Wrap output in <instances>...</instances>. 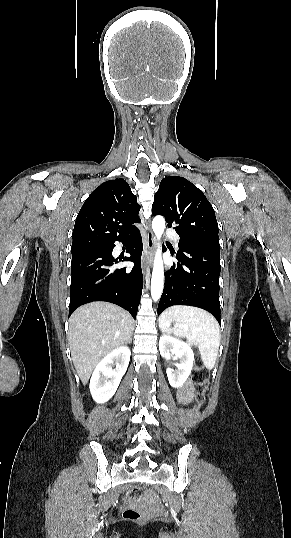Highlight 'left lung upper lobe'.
I'll return each instance as SVG.
<instances>
[{
  "mask_svg": "<svg viewBox=\"0 0 291 538\" xmlns=\"http://www.w3.org/2000/svg\"><path fill=\"white\" fill-rule=\"evenodd\" d=\"M154 215L165 217L180 236L179 248L185 245L220 247L214 209L205 195L183 177L162 179L152 205Z\"/></svg>",
  "mask_w": 291,
  "mask_h": 538,
  "instance_id": "obj_1",
  "label": "left lung upper lobe"
}]
</instances>
